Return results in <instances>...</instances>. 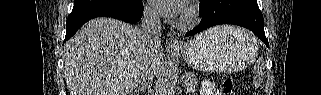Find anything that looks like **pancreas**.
Returning <instances> with one entry per match:
<instances>
[{
    "mask_svg": "<svg viewBox=\"0 0 321 95\" xmlns=\"http://www.w3.org/2000/svg\"><path fill=\"white\" fill-rule=\"evenodd\" d=\"M183 83L187 92H194L198 84L196 77L192 73L185 74Z\"/></svg>",
    "mask_w": 321,
    "mask_h": 95,
    "instance_id": "cf45deb5",
    "label": "pancreas"
}]
</instances>
